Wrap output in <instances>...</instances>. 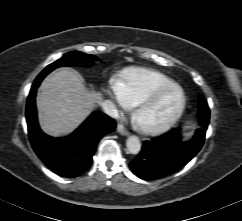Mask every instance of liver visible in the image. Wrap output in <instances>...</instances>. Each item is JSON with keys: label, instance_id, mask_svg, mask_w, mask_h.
Here are the masks:
<instances>
[{"label": "liver", "instance_id": "6515ba94", "mask_svg": "<svg viewBox=\"0 0 242 221\" xmlns=\"http://www.w3.org/2000/svg\"><path fill=\"white\" fill-rule=\"evenodd\" d=\"M102 95L88 90L76 71L61 69L42 81L36 98L41 129L49 136L72 133L100 104Z\"/></svg>", "mask_w": 242, "mask_h": 221}]
</instances>
